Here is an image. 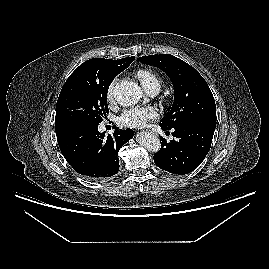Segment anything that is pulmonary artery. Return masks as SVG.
<instances>
[{
  "label": "pulmonary artery",
  "mask_w": 269,
  "mask_h": 269,
  "mask_svg": "<svg viewBox=\"0 0 269 269\" xmlns=\"http://www.w3.org/2000/svg\"><path fill=\"white\" fill-rule=\"evenodd\" d=\"M159 90H160V88H158V87H151V88H149V89H147V90H145V91H146L148 94L154 96V95H156V94L159 92Z\"/></svg>",
  "instance_id": "1"
}]
</instances>
